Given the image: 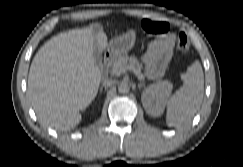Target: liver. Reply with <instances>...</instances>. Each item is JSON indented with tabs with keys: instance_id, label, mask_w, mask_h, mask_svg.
<instances>
[{
	"instance_id": "liver-1",
	"label": "liver",
	"mask_w": 243,
	"mask_h": 167,
	"mask_svg": "<svg viewBox=\"0 0 243 167\" xmlns=\"http://www.w3.org/2000/svg\"><path fill=\"white\" fill-rule=\"evenodd\" d=\"M100 51L107 36L97 35ZM92 28L61 33L44 44L35 55L28 78V92L38 119L56 129L74 128L95 98L102 79L93 56Z\"/></svg>"
}]
</instances>
